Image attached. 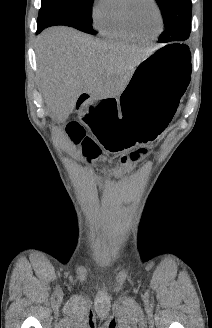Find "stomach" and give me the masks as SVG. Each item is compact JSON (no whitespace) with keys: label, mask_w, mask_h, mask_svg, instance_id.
<instances>
[{"label":"stomach","mask_w":212,"mask_h":328,"mask_svg":"<svg viewBox=\"0 0 212 328\" xmlns=\"http://www.w3.org/2000/svg\"><path fill=\"white\" fill-rule=\"evenodd\" d=\"M189 75L181 45L159 47L135 67L117 102H89L81 123L99 146L112 152L152 141L168 129Z\"/></svg>","instance_id":"1"}]
</instances>
